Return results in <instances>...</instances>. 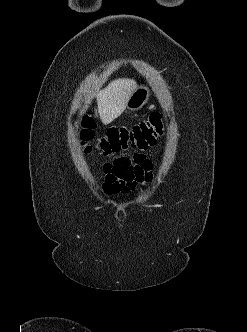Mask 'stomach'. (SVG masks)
<instances>
[{"mask_svg":"<svg viewBox=\"0 0 247 332\" xmlns=\"http://www.w3.org/2000/svg\"><path fill=\"white\" fill-rule=\"evenodd\" d=\"M150 97V90L147 86H138L127 102L126 108L129 111H137L141 109Z\"/></svg>","mask_w":247,"mask_h":332,"instance_id":"stomach-1","label":"stomach"}]
</instances>
